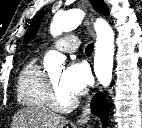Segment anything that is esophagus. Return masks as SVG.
<instances>
[{
    "label": "esophagus",
    "instance_id": "esophagus-1",
    "mask_svg": "<svg viewBox=\"0 0 142 128\" xmlns=\"http://www.w3.org/2000/svg\"><path fill=\"white\" fill-rule=\"evenodd\" d=\"M91 20H92V23H93V21H94L93 16H92ZM93 35L95 37V34H93ZM100 91H101V87L99 85V82L96 81L94 87L92 88L90 94L88 95L87 105H86L85 109L83 110L82 114L79 116V118L76 121L77 126L80 127V126L85 125L88 122V120L90 119V117H91V111H90L91 99L96 95V93H98Z\"/></svg>",
    "mask_w": 142,
    "mask_h": 128
}]
</instances>
